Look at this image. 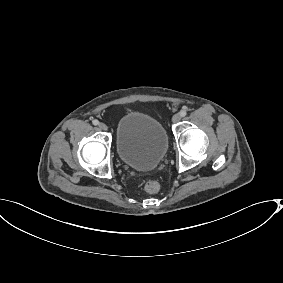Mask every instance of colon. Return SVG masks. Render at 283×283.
Listing matches in <instances>:
<instances>
[{"label": "colon", "mask_w": 283, "mask_h": 283, "mask_svg": "<svg viewBox=\"0 0 283 283\" xmlns=\"http://www.w3.org/2000/svg\"><path fill=\"white\" fill-rule=\"evenodd\" d=\"M145 190L148 193H157L160 190V184L156 180H149L145 183Z\"/></svg>", "instance_id": "obj_1"}]
</instances>
